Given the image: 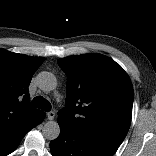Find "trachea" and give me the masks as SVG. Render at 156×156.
<instances>
[{"label": "trachea", "instance_id": "1", "mask_svg": "<svg viewBox=\"0 0 156 156\" xmlns=\"http://www.w3.org/2000/svg\"><path fill=\"white\" fill-rule=\"evenodd\" d=\"M31 105L35 108L42 109L46 112L51 110V103L48 100L44 99L42 96H36L32 100Z\"/></svg>", "mask_w": 156, "mask_h": 156}]
</instances>
